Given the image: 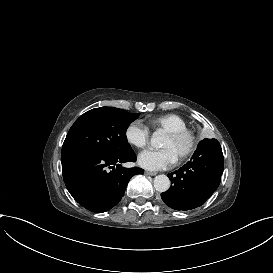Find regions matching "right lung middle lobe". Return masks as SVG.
<instances>
[{"mask_svg":"<svg viewBox=\"0 0 273 273\" xmlns=\"http://www.w3.org/2000/svg\"><path fill=\"white\" fill-rule=\"evenodd\" d=\"M138 115L114 107L87 111L70 128L62 146L61 158L86 152L119 155L130 151L126 129Z\"/></svg>","mask_w":273,"mask_h":273,"instance_id":"1","label":"right lung middle lobe"}]
</instances>
